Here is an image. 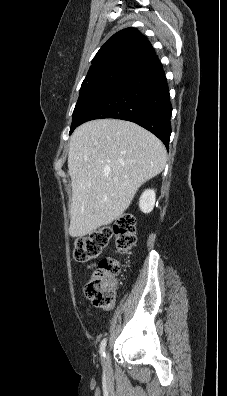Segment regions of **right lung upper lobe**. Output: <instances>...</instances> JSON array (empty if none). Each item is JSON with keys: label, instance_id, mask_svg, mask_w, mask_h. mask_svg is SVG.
Segmentation results:
<instances>
[{"label": "right lung upper lobe", "instance_id": "right-lung-upper-lobe-1", "mask_svg": "<svg viewBox=\"0 0 227 396\" xmlns=\"http://www.w3.org/2000/svg\"><path fill=\"white\" fill-rule=\"evenodd\" d=\"M155 56L154 49L145 36L135 28H126L114 34L100 48L88 74L110 68L134 71Z\"/></svg>", "mask_w": 227, "mask_h": 396}]
</instances>
